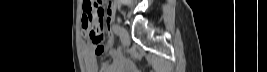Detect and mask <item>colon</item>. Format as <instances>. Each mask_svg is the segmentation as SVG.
I'll return each instance as SVG.
<instances>
[{"mask_svg": "<svg viewBox=\"0 0 267 72\" xmlns=\"http://www.w3.org/2000/svg\"><path fill=\"white\" fill-rule=\"evenodd\" d=\"M104 8L99 1L85 0L83 5L82 25L85 36L95 47L97 54L104 50V31L102 26Z\"/></svg>", "mask_w": 267, "mask_h": 72, "instance_id": "5ec220e1", "label": "colon"}]
</instances>
